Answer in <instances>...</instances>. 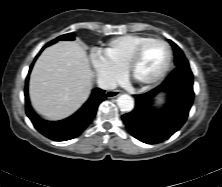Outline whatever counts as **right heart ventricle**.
<instances>
[{"label": "right heart ventricle", "instance_id": "right-heart-ventricle-1", "mask_svg": "<svg viewBox=\"0 0 222 187\" xmlns=\"http://www.w3.org/2000/svg\"><path fill=\"white\" fill-rule=\"evenodd\" d=\"M147 38L149 37L139 34L115 37L107 42L102 50V56L122 71L135 48Z\"/></svg>", "mask_w": 222, "mask_h": 187}]
</instances>
